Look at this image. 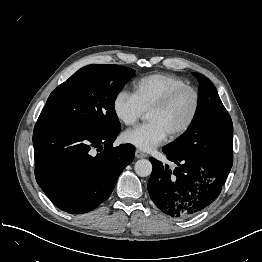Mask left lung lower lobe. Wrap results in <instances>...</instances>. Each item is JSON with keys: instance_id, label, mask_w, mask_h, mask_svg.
Wrapping results in <instances>:
<instances>
[{"instance_id": "obj_1", "label": "left lung lower lobe", "mask_w": 262, "mask_h": 262, "mask_svg": "<svg viewBox=\"0 0 262 262\" xmlns=\"http://www.w3.org/2000/svg\"><path fill=\"white\" fill-rule=\"evenodd\" d=\"M167 159L177 167L150 158L153 165L148 181L152 201L164 213L179 219L193 217L209 206L220 194L233 164L231 150L217 164H206L193 158L172 154Z\"/></svg>"}]
</instances>
